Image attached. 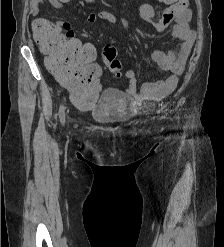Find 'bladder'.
I'll use <instances>...</instances> for the list:
<instances>
[{"label": "bladder", "mask_w": 224, "mask_h": 247, "mask_svg": "<svg viewBox=\"0 0 224 247\" xmlns=\"http://www.w3.org/2000/svg\"><path fill=\"white\" fill-rule=\"evenodd\" d=\"M125 109L126 103L121 92L114 88H106L89 114L98 123L116 124L126 119Z\"/></svg>", "instance_id": "bladder-1"}]
</instances>
